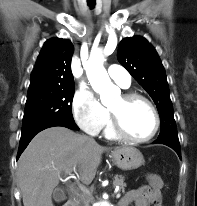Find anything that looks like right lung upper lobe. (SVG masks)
<instances>
[{
	"instance_id": "cb5924a9",
	"label": "right lung upper lobe",
	"mask_w": 197,
	"mask_h": 206,
	"mask_svg": "<svg viewBox=\"0 0 197 206\" xmlns=\"http://www.w3.org/2000/svg\"><path fill=\"white\" fill-rule=\"evenodd\" d=\"M74 47L62 38L47 40L31 73L29 89L74 86L71 59Z\"/></svg>"
}]
</instances>
